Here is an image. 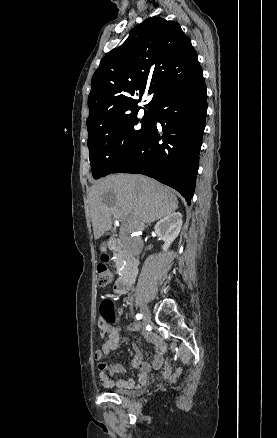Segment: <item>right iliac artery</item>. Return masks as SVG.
Instances as JSON below:
<instances>
[{"mask_svg": "<svg viewBox=\"0 0 277 438\" xmlns=\"http://www.w3.org/2000/svg\"><path fill=\"white\" fill-rule=\"evenodd\" d=\"M136 318H137L138 320L142 319V314H137V315H136Z\"/></svg>", "mask_w": 277, "mask_h": 438, "instance_id": "right-iliac-artery-1", "label": "right iliac artery"}]
</instances>
